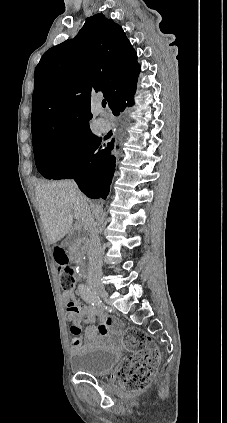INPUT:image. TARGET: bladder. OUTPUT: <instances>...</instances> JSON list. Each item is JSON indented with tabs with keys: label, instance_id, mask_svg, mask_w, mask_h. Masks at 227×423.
Segmentation results:
<instances>
[{
	"label": "bladder",
	"instance_id": "1",
	"mask_svg": "<svg viewBox=\"0 0 227 423\" xmlns=\"http://www.w3.org/2000/svg\"><path fill=\"white\" fill-rule=\"evenodd\" d=\"M119 360L120 356L116 350L87 349L72 357L71 370L93 377H101L110 375Z\"/></svg>",
	"mask_w": 227,
	"mask_h": 423
}]
</instances>
